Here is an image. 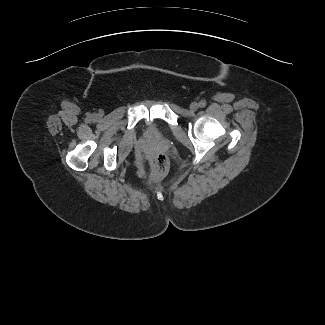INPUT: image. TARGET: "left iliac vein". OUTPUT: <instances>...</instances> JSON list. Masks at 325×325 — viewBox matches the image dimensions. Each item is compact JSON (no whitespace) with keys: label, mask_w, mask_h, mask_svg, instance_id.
Instances as JSON below:
<instances>
[{"label":"left iliac vein","mask_w":325,"mask_h":325,"mask_svg":"<svg viewBox=\"0 0 325 325\" xmlns=\"http://www.w3.org/2000/svg\"><path fill=\"white\" fill-rule=\"evenodd\" d=\"M198 108H199L198 103L193 102V103L190 104V109H191L192 111H196Z\"/></svg>","instance_id":"obj_1"}]
</instances>
